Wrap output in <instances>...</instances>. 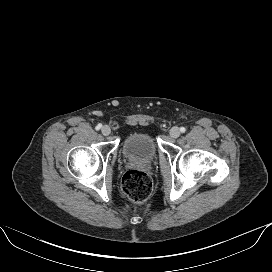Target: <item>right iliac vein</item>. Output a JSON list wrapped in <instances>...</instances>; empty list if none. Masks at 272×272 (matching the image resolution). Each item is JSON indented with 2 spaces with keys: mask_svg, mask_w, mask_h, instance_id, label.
<instances>
[{
  "mask_svg": "<svg viewBox=\"0 0 272 272\" xmlns=\"http://www.w3.org/2000/svg\"><path fill=\"white\" fill-rule=\"evenodd\" d=\"M101 132L103 135L107 136L111 133V129L109 126L105 125L102 127Z\"/></svg>",
  "mask_w": 272,
  "mask_h": 272,
  "instance_id": "1",
  "label": "right iliac vein"
}]
</instances>
